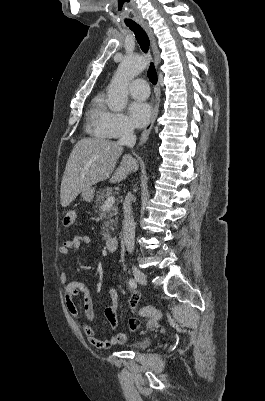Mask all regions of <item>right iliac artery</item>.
Returning <instances> with one entry per match:
<instances>
[{"label":"right iliac artery","mask_w":265,"mask_h":401,"mask_svg":"<svg viewBox=\"0 0 265 401\" xmlns=\"http://www.w3.org/2000/svg\"><path fill=\"white\" fill-rule=\"evenodd\" d=\"M128 284H129V286H130L131 288H133V289H136V288H137V283H136L135 279H133V278H131V279L129 280Z\"/></svg>","instance_id":"82829eb1"}]
</instances>
